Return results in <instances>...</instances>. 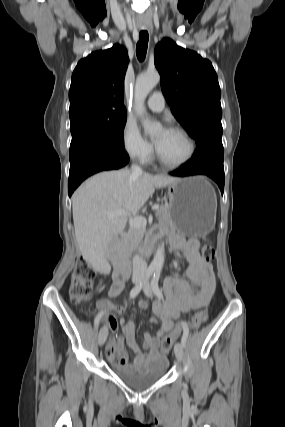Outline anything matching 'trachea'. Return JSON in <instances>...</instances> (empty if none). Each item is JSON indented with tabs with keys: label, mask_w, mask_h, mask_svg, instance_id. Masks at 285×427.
I'll return each instance as SVG.
<instances>
[{
	"label": "trachea",
	"mask_w": 285,
	"mask_h": 427,
	"mask_svg": "<svg viewBox=\"0 0 285 427\" xmlns=\"http://www.w3.org/2000/svg\"><path fill=\"white\" fill-rule=\"evenodd\" d=\"M149 35L147 31L139 33V41L136 45V55L139 61H144L147 53Z\"/></svg>",
	"instance_id": "trachea-1"
}]
</instances>
